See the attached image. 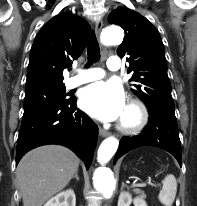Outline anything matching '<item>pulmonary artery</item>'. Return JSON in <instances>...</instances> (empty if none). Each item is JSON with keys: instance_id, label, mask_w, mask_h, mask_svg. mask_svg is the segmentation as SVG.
<instances>
[{"instance_id": "pulmonary-artery-1", "label": "pulmonary artery", "mask_w": 197, "mask_h": 206, "mask_svg": "<svg viewBox=\"0 0 197 206\" xmlns=\"http://www.w3.org/2000/svg\"><path fill=\"white\" fill-rule=\"evenodd\" d=\"M120 59L118 57H110L107 61V68L111 71H117L120 69ZM78 74L69 78L66 82L68 88H75L84 83H88L94 80H98L103 77V70L100 68H91L78 70Z\"/></svg>"}]
</instances>
